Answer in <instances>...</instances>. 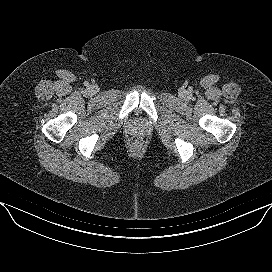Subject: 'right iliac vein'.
I'll list each match as a JSON object with an SVG mask.
<instances>
[{
	"label": "right iliac vein",
	"mask_w": 272,
	"mask_h": 272,
	"mask_svg": "<svg viewBox=\"0 0 272 272\" xmlns=\"http://www.w3.org/2000/svg\"><path fill=\"white\" fill-rule=\"evenodd\" d=\"M89 92H90L91 94H96V93H97V87L91 86V87L89 88Z\"/></svg>",
	"instance_id": "right-iliac-vein-1"
}]
</instances>
